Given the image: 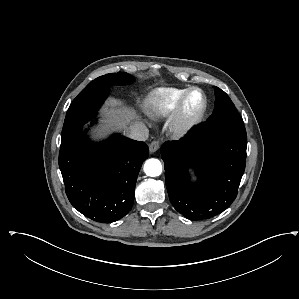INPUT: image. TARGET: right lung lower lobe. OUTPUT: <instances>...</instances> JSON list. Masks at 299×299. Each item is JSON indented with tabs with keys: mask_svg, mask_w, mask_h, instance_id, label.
<instances>
[{
	"mask_svg": "<svg viewBox=\"0 0 299 299\" xmlns=\"http://www.w3.org/2000/svg\"><path fill=\"white\" fill-rule=\"evenodd\" d=\"M148 146L119 134L90 142L81 130L61 143L59 167L70 203L90 219L114 222L132 208L140 167Z\"/></svg>",
	"mask_w": 299,
	"mask_h": 299,
	"instance_id": "right-lung-lower-lobe-1",
	"label": "right lung lower lobe"
}]
</instances>
